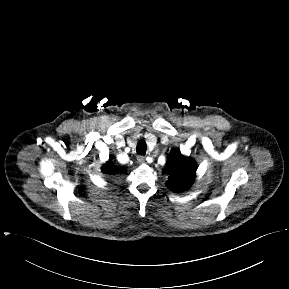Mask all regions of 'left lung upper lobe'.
<instances>
[{"label": "left lung upper lobe", "mask_w": 289, "mask_h": 289, "mask_svg": "<svg viewBox=\"0 0 289 289\" xmlns=\"http://www.w3.org/2000/svg\"><path fill=\"white\" fill-rule=\"evenodd\" d=\"M164 172L169 175L166 186L174 192H183L193 183L196 164L192 158L182 155L180 150H174L171 152Z\"/></svg>", "instance_id": "5c2ea615"}]
</instances>
